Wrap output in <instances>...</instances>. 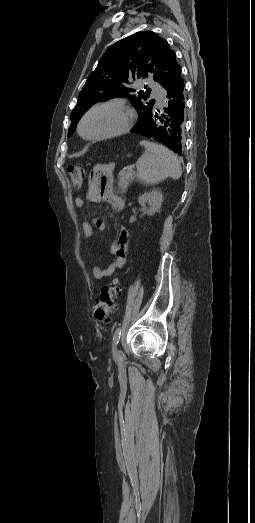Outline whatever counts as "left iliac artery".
Masks as SVG:
<instances>
[{
    "label": "left iliac artery",
    "instance_id": "left-iliac-artery-1",
    "mask_svg": "<svg viewBox=\"0 0 255 523\" xmlns=\"http://www.w3.org/2000/svg\"><path fill=\"white\" fill-rule=\"evenodd\" d=\"M121 332H122V327H118L115 332H114V336H113V345L115 346V348L117 347L118 343H119V340H120V336H121Z\"/></svg>",
    "mask_w": 255,
    "mask_h": 523
}]
</instances>
